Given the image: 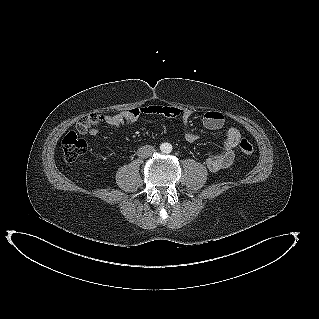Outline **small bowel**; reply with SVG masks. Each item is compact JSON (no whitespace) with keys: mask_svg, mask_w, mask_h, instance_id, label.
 <instances>
[{"mask_svg":"<svg viewBox=\"0 0 319 319\" xmlns=\"http://www.w3.org/2000/svg\"><path fill=\"white\" fill-rule=\"evenodd\" d=\"M153 114L180 118L183 123L186 141L194 142L197 140V134L190 128L191 111L167 105H146L105 115L91 114L92 120L88 123H77L76 129L81 134L97 136L99 133L97 126L101 123L111 126L129 125L135 123L141 115ZM202 122L205 128L216 131L224 127L225 118L219 111H208L204 114ZM240 138L239 130L235 127H229L226 131L222 148L206 160L207 168L212 172H217L229 167L234 160L235 149Z\"/></svg>","mask_w":319,"mask_h":319,"instance_id":"1","label":"small bowel"}]
</instances>
